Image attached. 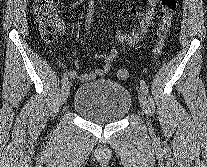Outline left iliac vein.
<instances>
[{
    "mask_svg": "<svg viewBox=\"0 0 207 167\" xmlns=\"http://www.w3.org/2000/svg\"><path fill=\"white\" fill-rule=\"evenodd\" d=\"M138 98H139V102H140V105L143 109V111L145 112L146 115H148V102H147V97H146V94L145 92L143 91V89L140 87L139 91H138ZM148 125H149V130L151 132H153V127L150 123V121L148 122Z\"/></svg>",
    "mask_w": 207,
    "mask_h": 167,
    "instance_id": "1",
    "label": "left iliac vein"
}]
</instances>
